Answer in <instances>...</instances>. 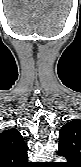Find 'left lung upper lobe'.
Returning <instances> with one entry per match:
<instances>
[{"instance_id": "left-lung-upper-lobe-1", "label": "left lung upper lobe", "mask_w": 81, "mask_h": 167, "mask_svg": "<svg viewBox=\"0 0 81 167\" xmlns=\"http://www.w3.org/2000/svg\"><path fill=\"white\" fill-rule=\"evenodd\" d=\"M58 154L65 157L69 167L81 164V120L76 119L65 124L59 135Z\"/></svg>"}]
</instances>
